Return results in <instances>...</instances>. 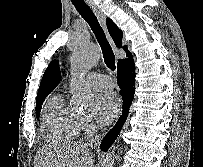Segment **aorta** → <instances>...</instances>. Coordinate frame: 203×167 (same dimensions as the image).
Returning a JSON list of instances; mask_svg holds the SVG:
<instances>
[{
	"label": "aorta",
	"mask_w": 203,
	"mask_h": 167,
	"mask_svg": "<svg viewBox=\"0 0 203 167\" xmlns=\"http://www.w3.org/2000/svg\"><path fill=\"white\" fill-rule=\"evenodd\" d=\"M100 59L99 48L90 42H80L73 52L71 68L73 78L70 85L73 101L79 105H88L93 95L89 87L84 83L83 76L94 67ZM114 164V153L106 156L103 167H112Z\"/></svg>",
	"instance_id": "1"
}]
</instances>
